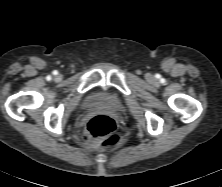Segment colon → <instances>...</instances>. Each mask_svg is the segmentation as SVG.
Listing matches in <instances>:
<instances>
[{"instance_id": "obj_1", "label": "colon", "mask_w": 222, "mask_h": 187, "mask_svg": "<svg viewBox=\"0 0 222 187\" xmlns=\"http://www.w3.org/2000/svg\"><path fill=\"white\" fill-rule=\"evenodd\" d=\"M84 138L104 147L118 145L121 141L115 119L105 114L95 115L87 122Z\"/></svg>"}]
</instances>
